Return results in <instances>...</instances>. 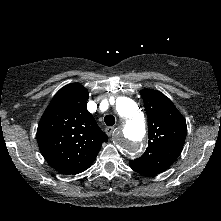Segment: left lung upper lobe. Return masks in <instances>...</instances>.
Returning <instances> with one entry per match:
<instances>
[{
    "label": "left lung upper lobe",
    "mask_w": 221,
    "mask_h": 221,
    "mask_svg": "<svg viewBox=\"0 0 221 221\" xmlns=\"http://www.w3.org/2000/svg\"><path fill=\"white\" fill-rule=\"evenodd\" d=\"M148 117V147L138 159L130 161L151 174L169 168L180 155L187 132L186 121L172 101L159 91H140Z\"/></svg>",
    "instance_id": "obj_1"
}]
</instances>
